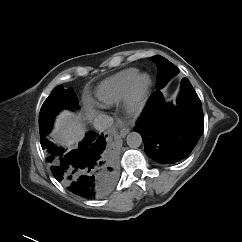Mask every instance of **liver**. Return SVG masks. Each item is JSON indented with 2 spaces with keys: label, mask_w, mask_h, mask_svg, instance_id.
<instances>
[{
  "label": "liver",
  "mask_w": 242,
  "mask_h": 242,
  "mask_svg": "<svg viewBox=\"0 0 242 242\" xmlns=\"http://www.w3.org/2000/svg\"><path fill=\"white\" fill-rule=\"evenodd\" d=\"M85 136V127L77 115L69 111H62L56 117L54 128L50 134L53 142L71 147Z\"/></svg>",
  "instance_id": "1"
}]
</instances>
